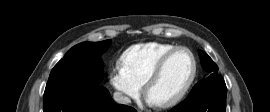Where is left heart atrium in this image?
Returning <instances> with one entry per match:
<instances>
[{
  "instance_id": "obj_1",
  "label": "left heart atrium",
  "mask_w": 270,
  "mask_h": 112,
  "mask_svg": "<svg viewBox=\"0 0 270 112\" xmlns=\"http://www.w3.org/2000/svg\"><path fill=\"white\" fill-rule=\"evenodd\" d=\"M147 103L150 106H156V105H158V103L155 100H153L150 96H147Z\"/></svg>"
}]
</instances>
